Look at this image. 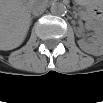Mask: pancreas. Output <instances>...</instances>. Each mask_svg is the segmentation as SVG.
Returning <instances> with one entry per match:
<instances>
[{"instance_id": "pancreas-1", "label": "pancreas", "mask_w": 103, "mask_h": 103, "mask_svg": "<svg viewBox=\"0 0 103 103\" xmlns=\"http://www.w3.org/2000/svg\"><path fill=\"white\" fill-rule=\"evenodd\" d=\"M78 15L84 20H89L90 19L88 14L80 8H78Z\"/></svg>"}]
</instances>
